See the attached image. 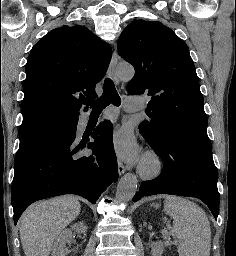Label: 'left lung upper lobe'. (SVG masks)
<instances>
[{
	"label": "left lung upper lobe",
	"instance_id": "left-lung-upper-lobe-1",
	"mask_svg": "<svg viewBox=\"0 0 236 256\" xmlns=\"http://www.w3.org/2000/svg\"><path fill=\"white\" fill-rule=\"evenodd\" d=\"M118 53L135 69L128 93L151 99V121L139 125L146 140L159 145L170 134L210 143L198 76L183 40L160 22L140 19L121 33Z\"/></svg>",
	"mask_w": 236,
	"mask_h": 256
}]
</instances>
